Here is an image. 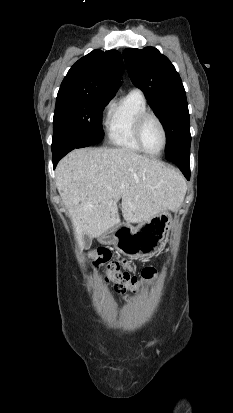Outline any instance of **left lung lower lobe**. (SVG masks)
<instances>
[{
    "label": "left lung lower lobe",
    "mask_w": 233,
    "mask_h": 413,
    "mask_svg": "<svg viewBox=\"0 0 233 413\" xmlns=\"http://www.w3.org/2000/svg\"><path fill=\"white\" fill-rule=\"evenodd\" d=\"M174 162L182 171L184 176L186 177L187 180L190 179V161L189 159L186 160H173Z\"/></svg>",
    "instance_id": "left-lung-lower-lobe-1"
}]
</instances>
